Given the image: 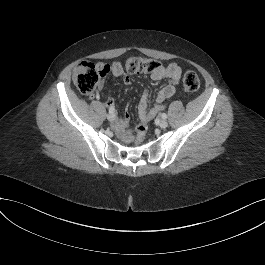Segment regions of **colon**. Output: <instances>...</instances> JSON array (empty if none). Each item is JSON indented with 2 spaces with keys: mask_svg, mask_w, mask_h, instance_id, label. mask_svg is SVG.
I'll return each instance as SVG.
<instances>
[{
  "mask_svg": "<svg viewBox=\"0 0 265 265\" xmlns=\"http://www.w3.org/2000/svg\"><path fill=\"white\" fill-rule=\"evenodd\" d=\"M125 70L130 74L152 73L160 67V63L152 58L130 57L124 61ZM100 80V72L96 65L83 61L79 63L73 73V81L80 92L89 94L94 91ZM183 88L187 92H195L200 87V80L196 72L189 70L184 73ZM163 109V105L153 106L142 116L141 122L135 127V143L142 145L145 141L148 123Z\"/></svg>",
  "mask_w": 265,
  "mask_h": 265,
  "instance_id": "1",
  "label": "colon"
}]
</instances>
